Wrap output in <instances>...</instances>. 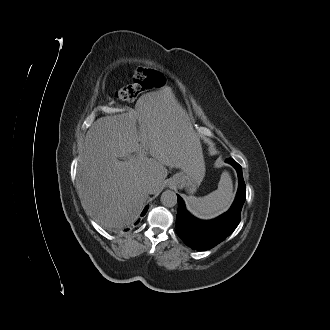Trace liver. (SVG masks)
Returning <instances> with one entry per match:
<instances>
[{
  "mask_svg": "<svg viewBox=\"0 0 330 330\" xmlns=\"http://www.w3.org/2000/svg\"><path fill=\"white\" fill-rule=\"evenodd\" d=\"M199 151L200 139L181 106L142 95L134 110L101 117L88 130L77 169L82 206L105 228L130 226L148 198L146 182L153 179L157 193L166 166L182 169ZM130 153L136 155L118 160Z\"/></svg>",
  "mask_w": 330,
  "mask_h": 330,
  "instance_id": "liver-1",
  "label": "liver"
}]
</instances>
